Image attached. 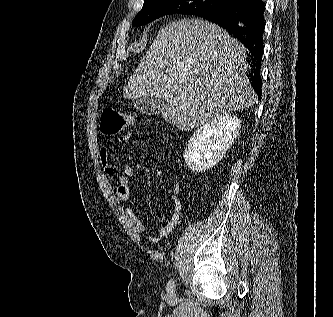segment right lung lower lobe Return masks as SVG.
I'll return each instance as SVG.
<instances>
[{
	"label": "right lung lower lobe",
	"instance_id": "right-lung-lower-lobe-1",
	"mask_svg": "<svg viewBox=\"0 0 333 317\" xmlns=\"http://www.w3.org/2000/svg\"><path fill=\"white\" fill-rule=\"evenodd\" d=\"M264 11L263 0H230L218 8L196 14L226 29L249 49L253 65V73L250 77L259 99H261L262 87L260 67L264 48Z\"/></svg>",
	"mask_w": 333,
	"mask_h": 317
}]
</instances>
